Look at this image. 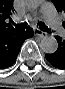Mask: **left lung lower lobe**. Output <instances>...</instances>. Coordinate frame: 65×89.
<instances>
[{"mask_svg": "<svg viewBox=\"0 0 65 89\" xmlns=\"http://www.w3.org/2000/svg\"><path fill=\"white\" fill-rule=\"evenodd\" d=\"M58 42V49L53 54H46V59L55 67L65 69V38L55 37Z\"/></svg>", "mask_w": 65, "mask_h": 89, "instance_id": "1", "label": "left lung lower lobe"}]
</instances>
